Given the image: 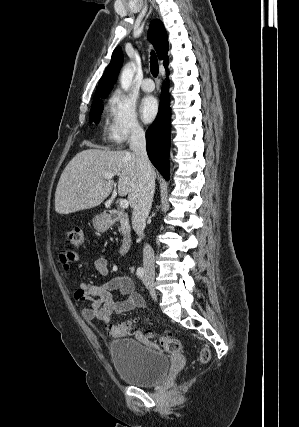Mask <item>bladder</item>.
I'll list each match as a JSON object with an SVG mask.
<instances>
[{
	"label": "bladder",
	"instance_id": "bladder-1",
	"mask_svg": "<svg viewBox=\"0 0 299 427\" xmlns=\"http://www.w3.org/2000/svg\"><path fill=\"white\" fill-rule=\"evenodd\" d=\"M109 354L117 375L138 387H151L162 381L169 370V358L137 340L122 338L109 344Z\"/></svg>",
	"mask_w": 299,
	"mask_h": 427
}]
</instances>
